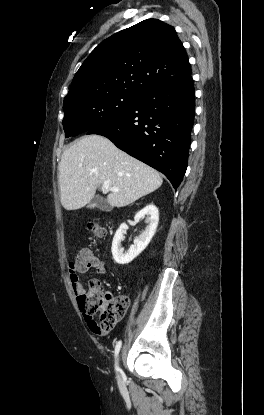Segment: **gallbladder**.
<instances>
[{"instance_id":"obj_1","label":"gallbladder","mask_w":264,"mask_h":415,"mask_svg":"<svg viewBox=\"0 0 264 415\" xmlns=\"http://www.w3.org/2000/svg\"><path fill=\"white\" fill-rule=\"evenodd\" d=\"M95 207L99 208L101 210L110 209V206H109L108 202L100 196L94 197L88 204V208H90V209L95 208Z\"/></svg>"}]
</instances>
